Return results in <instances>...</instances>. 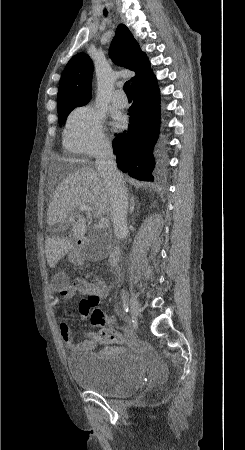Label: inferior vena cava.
<instances>
[{
    "instance_id": "obj_1",
    "label": "inferior vena cava",
    "mask_w": 245,
    "mask_h": 450,
    "mask_svg": "<svg viewBox=\"0 0 245 450\" xmlns=\"http://www.w3.org/2000/svg\"><path fill=\"white\" fill-rule=\"evenodd\" d=\"M116 157L110 144L100 147L96 155L97 171L105 183L111 204V219L114 233L118 239L123 238L127 232V190L122 174L116 166Z\"/></svg>"
}]
</instances>
